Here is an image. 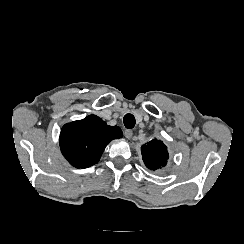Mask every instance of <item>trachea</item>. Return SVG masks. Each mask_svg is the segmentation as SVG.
<instances>
[{
  "label": "trachea",
  "mask_w": 244,
  "mask_h": 244,
  "mask_svg": "<svg viewBox=\"0 0 244 244\" xmlns=\"http://www.w3.org/2000/svg\"><path fill=\"white\" fill-rule=\"evenodd\" d=\"M123 121H124L125 127L128 129H132L135 126V117L130 113H128L124 116Z\"/></svg>",
  "instance_id": "3493384b"
}]
</instances>
